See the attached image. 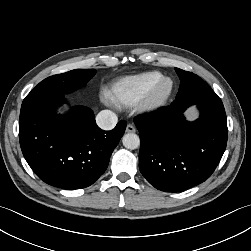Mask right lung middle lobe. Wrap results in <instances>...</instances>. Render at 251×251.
I'll use <instances>...</instances> for the list:
<instances>
[{"label": "right lung middle lobe", "mask_w": 251, "mask_h": 251, "mask_svg": "<svg viewBox=\"0 0 251 251\" xmlns=\"http://www.w3.org/2000/svg\"><path fill=\"white\" fill-rule=\"evenodd\" d=\"M95 73V69H75L53 75L40 82L32 91L69 94L88 82Z\"/></svg>", "instance_id": "right-lung-middle-lobe-1"}]
</instances>
